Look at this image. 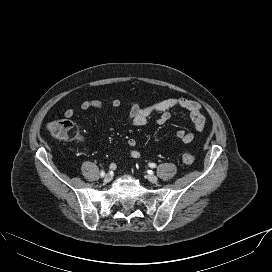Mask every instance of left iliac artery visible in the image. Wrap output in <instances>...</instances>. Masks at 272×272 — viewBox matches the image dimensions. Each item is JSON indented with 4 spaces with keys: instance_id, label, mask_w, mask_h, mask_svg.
<instances>
[{
    "instance_id": "left-iliac-artery-1",
    "label": "left iliac artery",
    "mask_w": 272,
    "mask_h": 272,
    "mask_svg": "<svg viewBox=\"0 0 272 272\" xmlns=\"http://www.w3.org/2000/svg\"><path fill=\"white\" fill-rule=\"evenodd\" d=\"M149 167L155 168V167H156V164H155V163H149Z\"/></svg>"
}]
</instances>
